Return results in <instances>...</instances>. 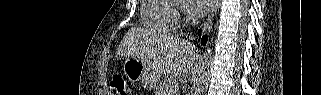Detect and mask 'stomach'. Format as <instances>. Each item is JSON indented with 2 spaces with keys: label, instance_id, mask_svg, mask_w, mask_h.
Listing matches in <instances>:
<instances>
[{
  "label": "stomach",
  "instance_id": "0dacf381",
  "mask_svg": "<svg viewBox=\"0 0 321 95\" xmlns=\"http://www.w3.org/2000/svg\"><path fill=\"white\" fill-rule=\"evenodd\" d=\"M125 76L131 82H141L147 89H153L157 85L158 74L135 58H126L123 62Z\"/></svg>",
  "mask_w": 321,
  "mask_h": 95
}]
</instances>
